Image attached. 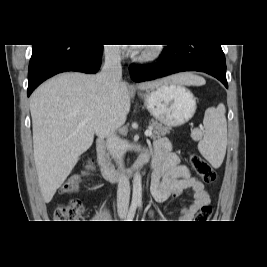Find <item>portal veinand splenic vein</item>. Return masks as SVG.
Masks as SVG:
<instances>
[{"label":"portal vein and splenic vein","mask_w":267,"mask_h":267,"mask_svg":"<svg viewBox=\"0 0 267 267\" xmlns=\"http://www.w3.org/2000/svg\"><path fill=\"white\" fill-rule=\"evenodd\" d=\"M90 120V118H85L84 120H82L80 123H79V126H84L88 121ZM145 135L147 137L151 136L152 135V131L151 130H146L145 131Z\"/></svg>","instance_id":"obj_1"}]
</instances>
